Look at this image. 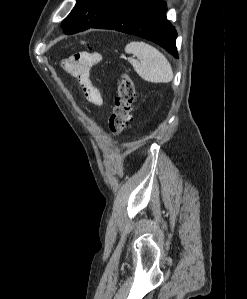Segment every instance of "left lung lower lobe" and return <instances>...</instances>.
I'll return each instance as SVG.
<instances>
[{
  "label": "left lung lower lobe",
  "instance_id": "left-lung-lower-lobe-1",
  "mask_svg": "<svg viewBox=\"0 0 247 299\" xmlns=\"http://www.w3.org/2000/svg\"><path fill=\"white\" fill-rule=\"evenodd\" d=\"M166 3L160 0H124L91 28L117 30L148 39L178 58L174 26L166 18Z\"/></svg>",
  "mask_w": 247,
  "mask_h": 299
}]
</instances>
